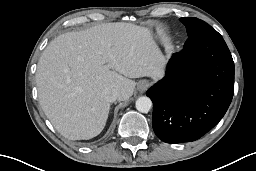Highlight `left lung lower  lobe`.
<instances>
[{
	"label": "left lung lower lobe",
	"instance_id": "left-lung-lower-lobe-1",
	"mask_svg": "<svg viewBox=\"0 0 256 171\" xmlns=\"http://www.w3.org/2000/svg\"><path fill=\"white\" fill-rule=\"evenodd\" d=\"M233 94L234 62L223 38H189L146 93L153 130L166 143L195 141L222 119Z\"/></svg>",
	"mask_w": 256,
	"mask_h": 171
}]
</instances>
